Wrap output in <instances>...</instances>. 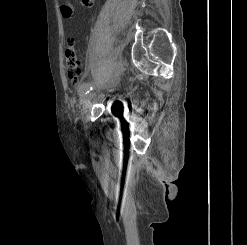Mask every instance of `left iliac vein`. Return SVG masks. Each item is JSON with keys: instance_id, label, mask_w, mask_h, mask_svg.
<instances>
[{"instance_id": "obj_1", "label": "left iliac vein", "mask_w": 247, "mask_h": 245, "mask_svg": "<svg viewBox=\"0 0 247 245\" xmlns=\"http://www.w3.org/2000/svg\"><path fill=\"white\" fill-rule=\"evenodd\" d=\"M117 81H118V75H115L109 85V88H112L117 83ZM94 97H95V93L93 92L82 95L81 104L83 108L89 107Z\"/></svg>"}]
</instances>
